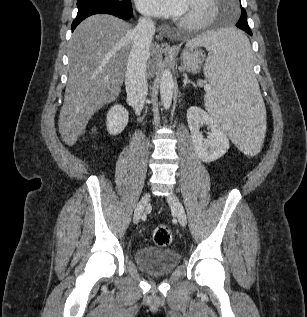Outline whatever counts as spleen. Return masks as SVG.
I'll list each match as a JSON object with an SVG mask.
<instances>
[{
  "label": "spleen",
  "instance_id": "obj_1",
  "mask_svg": "<svg viewBox=\"0 0 307 317\" xmlns=\"http://www.w3.org/2000/svg\"><path fill=\"white\" fill-rule=\"evenodd\" d=\"M187 47L208 51L204 75L211 89L204 96L212 119L233 139L240 155H261L268 122L259 85L251 71V48L245 29H212Z\"/></svg>",
  "mask_w": 307,
  "mask_h": 317
}]
</instances>
